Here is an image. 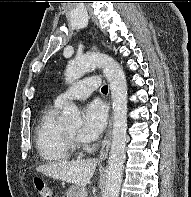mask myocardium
<instances>
[{
  "label": "myocardium",
  "mask_w": 191,
  "mask_h": 197,
  "mask_svg": "<svg viewBox=\"0 0 191 197\" xmlns=\"http://www.w3.org/2000/svg\"><path fill=\"white\" fill-rule=\"evenodd\" d=\"M65 136H66V139H67V142H68V145H69L71 151H75L78 148V144H77L75 135H72L65 130Z\"/></svg>",
  "instance_id": "f54148a6"
}]
</instances>
